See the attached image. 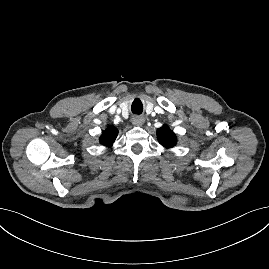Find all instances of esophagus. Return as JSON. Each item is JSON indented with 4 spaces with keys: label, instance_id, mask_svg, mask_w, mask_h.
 I'll return each mask as SVG.
<instances>
[{
    "label": "esophagus",
    "instance_id": "esophagus-1",
    "mask_svg": "<svg viewBox=\"0 0 269 269\" xmlns=\"http://www.w3.org/2000/svg\"><path fill=\"white\" fill-rule=\"evenodd\" d=\"M145 122V118L142 116H135L132 118V123L135 126H141Z\"/></svg>",
    "mask_w": 269,
    "mask_h": 269
}]
</instances>
